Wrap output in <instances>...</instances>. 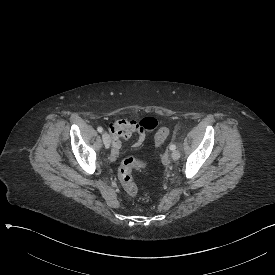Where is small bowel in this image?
Wrapping results in <instances>:
<instances>
[{"label": "small bowel", "mask_w": 275, "mask_h": 275, "mask_svg": "<svg viewBox=\"0 0 275 275\" xmlns=\"http://www.w3.org/2000/svg\"><path fill=\"white\" fill-rule=\"evenodd\" d=\"M161 124L162 121L158 117H143L140 119L139 125L133 119H114L113 122L109 123L107 126L110 135L113 136L110 159L115 161L118 158L121 148L120 139L125 138L130 140L133 138L134 134H136L138 138L135 142V146H141L145 140V133L160 127Z\"/></svg>", "instance_id": "small-bowel-1"}]
</instances>
